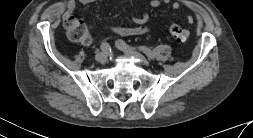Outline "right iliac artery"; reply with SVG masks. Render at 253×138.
Masks as SVG:
<instances>
[{
  "label": "right iliac artery",
  "mask_w": 253,
  "mask_h": 138,
  "mask_svg": "<svg viewBox=\"0 0 253 138\" xmlns=\"http://www.w3.org/2000/svg\"><path fill=\"white\" fill-rule=\"evenodd\" d=\"M101 50L104 51V52L109 51V50H110L109 44H108L107 42H103V43L101 44Z\"/></svg>",
  "instance_id": "82829eb1"
}]
</instances>
